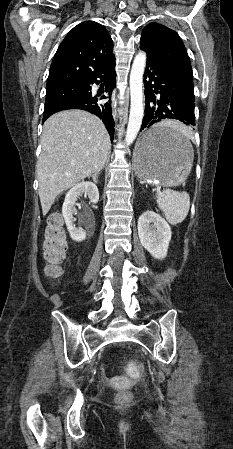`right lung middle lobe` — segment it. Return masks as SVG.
I'll return each instance as SVG.
<instances>
[{"mask_svg":"<svg viewBox=\"0 0 233 449\" xmlns=\"http://www.w3.org/2000/svg\"><path fill=\"white\" fill-rule=\"evenodd\" d=\"M87 89L84 85H70L47 90L45 109L53 107L59 103L77 99L84 96Z\"/></svg>","mask_w":233,"mask_h":449,"instance_id":"obj_1","label":"right lung middle lobe"}]
</instances>
